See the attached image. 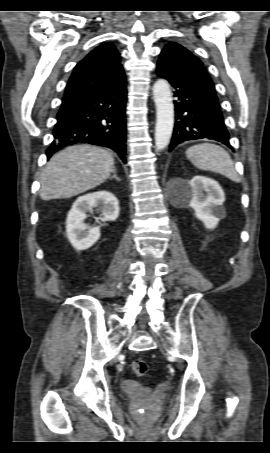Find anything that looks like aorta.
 I'll return each mask as SVG.
<instances>
[{
    "label": "aorta",
    "instance_id": "1",
    "mask_svg": "<svg viewBox=\"0 0 270 453\" xmlns=\"http://www.w3.org/2000/svg\"><path fill=\"white\" fill-rule=\"evenodd\" d=\"M156 106L155 147L161 151L167 147L174 126V105L169 83L158 79L153 85Z\"/></svg>",
    "mask_w": 270,
    "mask_h": 453
}]
</instances>
